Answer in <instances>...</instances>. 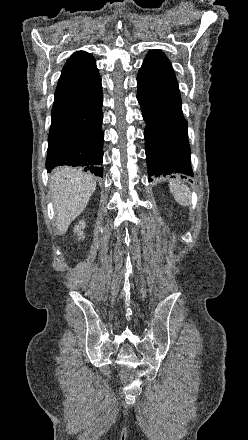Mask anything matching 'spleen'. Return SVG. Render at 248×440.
I'll return each mask as SVG.
<instances>
[{"mask_svg": "<svg viewBox=\"0 0 248 440\" xmlns=\"http://www.w3.org/2000/svg\"><path fill=\"white\" fill-rule=\"evenodd\" d=\"M169 188L177 203L182 206L190 205V191L185 184L181 183L179 180H173L170 181Z\"/></svg>", "mask_w": 248, "mask_h": 440, "instance_id": "spleen-1", "label": "spleen"}]
</instances>
